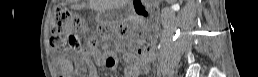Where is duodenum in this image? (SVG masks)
I'll return each mask as SVG.
<instances>
[{"label":"duodenum","instance_id":"1","mask_svg":"<svg viewBox=\"0 0 258 77\" xmlns=\"http://www.w3.org/2000/svg\"><path fill=\"white\" fill-rule=\"evenodd\" d=\"M137 3L133 7V13L138 17H143V15H147L145 8L141 5V1H136Z\"/></svg>","mask_w":258,"mask_h":77}]
</instances>
